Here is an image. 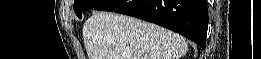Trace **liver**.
<instances>
[{"mask_svg":"<svg viewBox=\"0 0 261 59\" xmlns=\"http://www.w3.org/2000/svg\"><path fill=\"white\" fill-rule=\"evenodd\" d=\"M83 39L88 59H179L187 52L179 34L112 12L88 18Z\"/></svg>","mask_w":261,"mask_h":59,"instance_id":"obj_1","label":"liver"}]
</instances>
